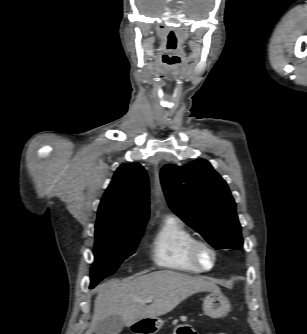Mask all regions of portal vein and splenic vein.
I'll return each instance as SVG.
<instances>
[{
    "mask_svg": "<svg viewBox=\"0 0 307 334\" xmlns=\"http://www.w3.org/2000/svg\"><path fill=\"white\" fill-rule=\"evenodd\" d=\"M152 301H153L152 298H147V299L144 300V303H151Z\"/></svg>",
    "mask_w": 307,
    "mask_h": 334,
    "instance_id": "obj_1",
    "label": "portal vein and splenic vein"
}]
</instances>
